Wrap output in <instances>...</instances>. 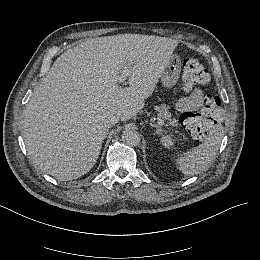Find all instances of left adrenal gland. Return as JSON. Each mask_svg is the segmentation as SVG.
<instances>
[{"instance_id":"1","label":"left adrenal gland","mask_w":260,"mask_h":260,"mask_svg":"<svg viewBox=\"0 0 260 260\" xmlns=\"http://www.w3.org/2000/svg\"><path fill=\"white\" fill-rule=\"evenodd\" d=\"M153 127L156 128V134H160L163 130L161 128V126L157 125V124H151Z\"/></svg>"}]
</instances>
